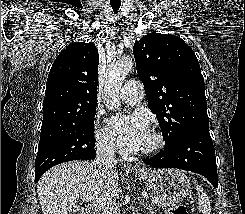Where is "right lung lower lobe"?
Instances as JSON below:
<instances>
[{
  "label": "right lung lower lobe",
  "instance_id": "right-lung-lower-lobe-1",
  "mask_svg": "<svg viewBox=\"0 0 245 214\" xmlns=\"http://www.w3.org/2000/svg\"><path fill=\"white\" fill-rule=\"evenodd\" d=\"M96 157V151L94 149L93 153H92V158L91 159H94ZM44 174V172H41V173H35V183H37L40 179V177Z\"/></svg>",
  "mask_w": 245,
  "mask_h": 214
}]
</instances>
